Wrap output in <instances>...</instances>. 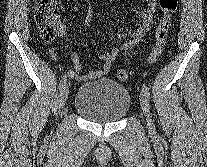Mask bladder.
<instances>
[{
	"instance_id": "bladder-1",
	"label": "bladder",
	"mask_w": 207,
	"mask_h": 167,
	"mask_svg": "<svg viewBox=\"0 0 207 167\" xmlns=\"http://www.w3.org/2000/svg\"><path fill=\"white\" fill-rule=\"evenodd\" d=\"M74 108L93 122H116L130 110L131 97L121 84L109 79L83 84L74 99Z\"/></svg>"
}]
</instances>
